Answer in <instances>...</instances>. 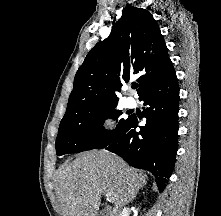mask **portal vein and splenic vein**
<instances>
[{
  "instance_id": "1",
  "label": "portal vein and splenic vein",
  "mask_w": 221,
  "mask_h": 216,
  "mask_svg": "<svg viewBox=\"0 0 221 216\" xmlns=\"http://www.w3.org/2000/svg\"><path fill=\"white\" fill-rule=\"evenodd\" d=\"M106 197H107L108 200L113 198L111 194H107Z\"/></svg>"
}]
</instances>
